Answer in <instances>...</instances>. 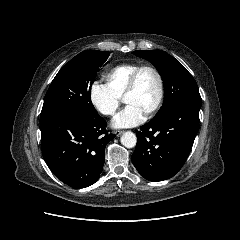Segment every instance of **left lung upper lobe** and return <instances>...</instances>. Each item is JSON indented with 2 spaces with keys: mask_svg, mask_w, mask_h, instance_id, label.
Instances as JSON below:
<instances>
[{
  "mask_svg": "<svg viewBox=\"0 0 240 240\" xmlns=\"http://www.w3.org/2000/svg\"><path fill=\"white\" fill-rule=\"evenodd\" d=\"M136 56L150 61L159 71L164 84V102L158 114L182 101L201 103L196 81L174 57L162 50H138Z\"/></svg>",
  "mask_w": 240,
  "mask_h": 240,
  "instance_id": "5c2ea615",
  "label": "left lung upper lobe"
}]
</instances>
